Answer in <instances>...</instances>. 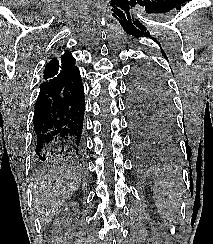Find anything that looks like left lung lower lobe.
Wrapping results in <instances>:
<instances>
[{"mask_svg":"<svg viewBox=\"0 0 213 244\" xmlns=\"http://www.w3.org/2000/svg\"><path fill=\"white\" fill-rule=\"evenodd\" d=\"M129 127L134 152L141 157H152L161 151L164 140L144 118L128 113Z\"/></svg>","mask_w":213,"mask_h":244,"instance_id":"obj_1","label":"left lung lower lobe"}]
</instances>
